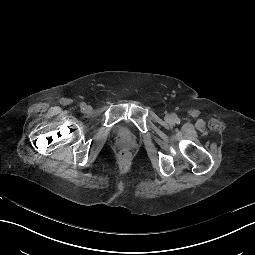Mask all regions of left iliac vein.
<instances>
[{"label":"left iliac vein","instance_id":"obj_1","mask_svg":"<svg viewBox=\"0 0 255 255\" xmlns=\"http://www.w3.org/2000/svg\"><path fill=\"white\" fill-rule=\"evenodd\" d=\"M165 121H166L167 123H172L174 120H173V117H172L171 115H166Z\"/></svg>","mask_w":255,"mask_h":255}]
</instances>
